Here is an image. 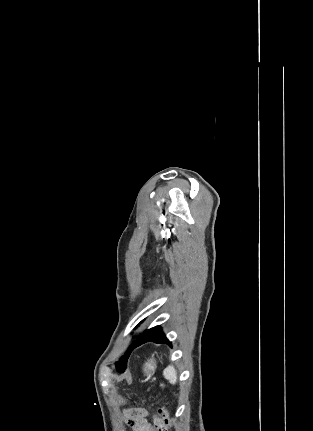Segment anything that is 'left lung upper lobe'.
<instances>
[{
  "label": "left lung upper lobe",
  "mask_w": 313,
  "mask_h": 431,
  "mask_svg": "<svg viewBox=\"0 0 313 431\" xmlns=\"http://www.w3.org/2000/svg\"><path fill=\"white\" fill-rule=\"evenodd\" d=\"M143 321H141L142 323ZM131 347L132 345L128 348V350L126 351V353L124 354V356L119 360V362L116 363V367H117V371L121 372L124 371L126 366H127V361L128 358L130 356L131 353Z\"/></svg>",
  "instance_id": "1"
}]
</instances>
